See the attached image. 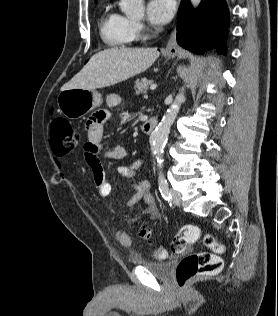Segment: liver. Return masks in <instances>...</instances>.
<instances>
[{
    "label": "liver",
    "mask_w": 278,
    "mask_h": 316,
    "mask_svg": "<svg viewBox=\"0 0 278 316\" xmlns=\"http://www.w3.org/2000/svg\"><path fill=\"white\" fill-rule=\"evenodd\" d=\"M157 48H111L93 55L83 69L61 88H104L148 69L159 57Z\"/></svg>",
    "instance_id": "obj_1"
}]
</instances>
